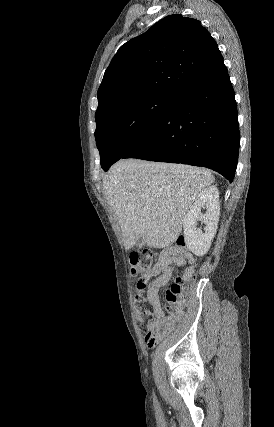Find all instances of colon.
Segmentation results:
<instances>
[{
	"label": "colon",
	"mask_w": 274,
	"mask_h": 427,
	"mask_svg": "<svg viewBox=\"0 0 274 427\" xmlns=\"http://www.w3.org/2000/svg\"><path fill=\"white\" fill-rule=\"evenodd\" d=\"M189 243V234L181 233L175 236V247L182 248L184 244ZM132 264L134 265V276L140 277L139 293H146V281L149 278V260L142 256L141 251H134L132 257ZM187 275L177 274L174 282L170 283L165 291V299L168 303L174 304L180 297V294L187 287ZM154 314L155 310L151 302L145 299H138L137 301V324L143 336H151L152 348V335L156 334L154 331Z\"/></svg>",
	"instance_id": "obj_1"
}]
</instances>
